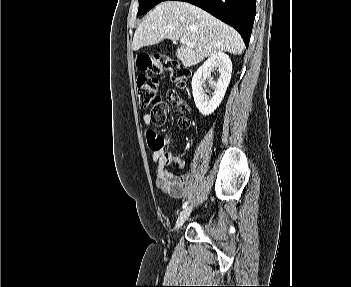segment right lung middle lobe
I'll return each mask as SVG.
<instances>
[{
	"mask_svg": "<svg viewBox=\"0 0 351 287\" xmlns=\"http://www.w3.org/2000/svg\"><path fill=\"white\" fill-rule=\"evenodd\" d=\"M162 1L164 0H139L138 14L147 13L150 9H152L154 6H156Z\"/></svg>",
	"mask_w": 351,
	"mask_h": 287,
	"instance_id": "right-lung-middle-lobe-1",
	"label": "right lung middle lobe"
}]
</instances>
